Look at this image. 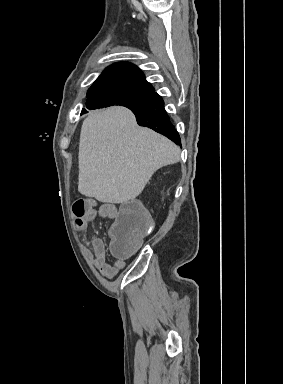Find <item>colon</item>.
<instances>
[{
  "label": "colon",
  "mask_w": 283,
  "mask_h": 384,
  "mask_svg": "<svg viewBox=\"0 0 283 384\" xmlns=\"http://www.w3.org/2000/svg\"><path fill=\"white\" fill-rule=\"evenodd\" d=\"M92 208L88 199L77 198L72 205L75 222H79ZM152 230V220L143 205L137 201L124 204L111 228V252L118 258L130 256L139 246L142 236Z\"/></svg>",
  "instance_id": "5ec220e1"
}]
</instances>
